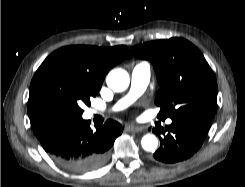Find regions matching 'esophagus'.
Instances as JSON below:
<instances>
[{
	"label": "esophagus",
	"mask_w": 245,
	"mask_h": 187,
	"mask_svg": "<svg viewBox=\"0 0 245 187\" xmlns=\"http://www.w3.org/2000/svg\"><path fill=\"white\" fill-rule=\"evenodd\" d=\"M125 130L128 132L138 133V132L143 131V128L139 126H134V125H127L125 126Z\"/></svg>",
	"instance_id": "esophagus-1"
}]
</instances>
